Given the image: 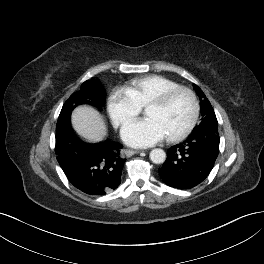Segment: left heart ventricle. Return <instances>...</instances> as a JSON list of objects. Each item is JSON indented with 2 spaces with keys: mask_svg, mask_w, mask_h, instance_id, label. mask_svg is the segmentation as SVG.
Instances as JSON below:
<instances>
[{
  "mask_svg": "<svg viewBox=\"0 0 264 264\" xmlns=\"http://www.w3.org/2000/svg\"><path fill=\"white\" fill-rule=\"evenodd\" d=\"M145 115L156 120L166 136L172 135L188 124L192 115V103L186 94H179L164 107L146 108Z\"/></svg>",
  "mask_w": 264,
  "mask_h": 264,
  "instance_id": "1",
  "label": "left heart ventricle"
}]
</instances>
